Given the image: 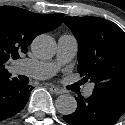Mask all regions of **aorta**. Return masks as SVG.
Segmentation results:
<instances>
[{
	"instance_id": "762f6f07",
	"label": "aorta",
	"mask_w": 125,
	"mask_h": 125,
	"mask_svg": "<svg viewBox=\"0 0 125 125\" xmlns=\"http://www.w3.org/2000/svg\"><path fill=\"white\" fill-rule=\"evenodd\" d=\"M31 49L38 58L49 59L55 54L56 43L49 35H39L33 40ZM55 106L62 115H69L75 112L77 101L74 96L63 94L56 99Z\"/></svg>"
}]
</instances>
